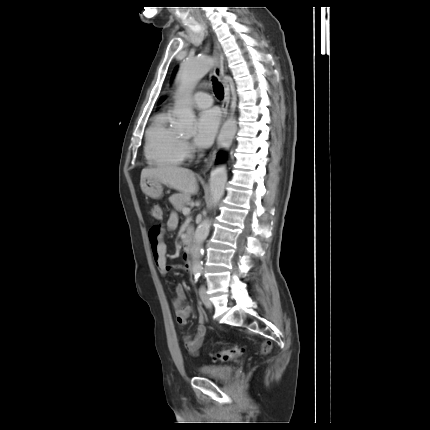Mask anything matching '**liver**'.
<instances>
[{"label":"liver","mask_w":430,"mask_h":430,"mask_svg":"<svg viewBox=\"0 0 430 430\" xmlns=\"http://www.w3.org/2000/svg\"><path fill=\"white\" fill-rule=\"evenodd\" d=\"M155 178L171 188L187 195L197 193L198 185L193 171L172 165L145 168L141 172V181Z\"/></svg>","instance_id":"liver-1"}]
</instances>
